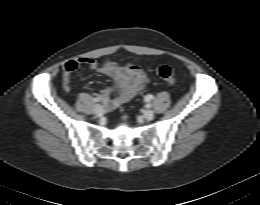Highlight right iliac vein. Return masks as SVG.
<instances>
[{
  "label": "right iliac vein",
  "mask_w": 260,
  "mask_h": 205,
  "mask_svg": "<svg viewBox=\"0 0 260 205\" xmlns=\"http://www.w3.org/2000/svg\"><path fill=\"white\" fill-rule=\"evenodd\" d=\"M93 111L96 115H101L104 112L103 107L100 104L94 105Z\"/></svg>",
  "instance_id": "1"
}]
</instances>
